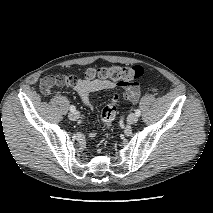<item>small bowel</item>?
Masks as SVG:
<instances>
[{"label": "small bowel", "instance_id": "small-bowel-1", "mask_svg": "<svg viewBox=\"0 0 213 213\" xmlns=\"http://www.w3.org/2000/svg\"><path fill=\"white\" fill-rule=\"evenodd\" d=\"M70 86L72 87L81 98L85 106L90 107L89 98L91 94L103 90H111L116 87V83L110 80H102L97 78H86V79H74L71 83H59L55 80V76L45 77L40 84V88L43 94L48 95L51 93L55 86ZM131 96L125 97L129 102L135 103L140 95L138 87L130 89ZM95 134L91 133L90 137H94Z\"/></svg>", "mask_w": 213, "mask_h": 213}]
</instances>
